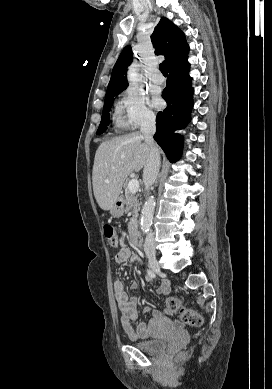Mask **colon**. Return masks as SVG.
Instances as JSON below:
<instances>
[{"label": "colon", "mask_w": 272, "mask_h": 389, "mask_svg": "<svg viewBox=\"0 0 272 389\" xmlns=\"http://www.w3.org/2000/svg\"><path fill=\"white\" fill-rule=\"evenodd\" d=\"M104 236L109 243L110 246L112 247H117L120 240L119 237L115 231V229L111 225H105L104 226ZM166 307H167V312L170 314H178L180 316L181 321L189 326L192 327H198L201 326L202 324V316L192 310L187 308L181 299L178 297H168L166 300ZM185 356V353H182L179 357L183 358Z\"/></svg>", "instance_id": "colon-1"}]
</instances>
